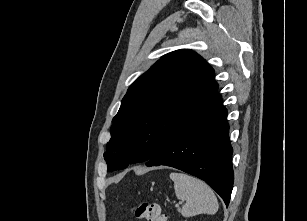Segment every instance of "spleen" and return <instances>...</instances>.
<instances>
[{
    "label": "spleen",
    "instance_id": "3e777b00",
    "mask_svg": "<svg viewBox=\"0 0 307 221\" xmlns=\"http://www.w3.org/2000/svg\"><path fill=\"white\" fill-rule=\"evenodd\" d=\"M170 179L174 182L176 197L185 201L181 210L184 217H192L198 214L214 215L217 212V198L205 182L177 172L171 173Z\"/></svg>",
    "mask_w": 307,
    "mask_h": 221
}]
</instances>
